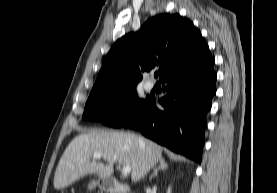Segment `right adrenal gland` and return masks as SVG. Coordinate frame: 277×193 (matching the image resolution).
Listing matches in <instances>:
<instances>
[{
	"mask_svg": "<svg viewBox=\"0 0 277 193\" xmlns=\"http://www.w3.org/2000/svg\"><path fill=\"white\" fill-rule=\"evenodd\" d=\"M166 169H168V164H167V163L165 162V160L162 158V159L160 160L159 166H158L157 168L154 169V171H153V173L151 174L149 180L151 181L152 178L157 177V176H158L159 170H166Z\"/></svg>",
	"mask_w": 277,
	"mask_h": 193,
	"instance_id": "1",
	"label": "right adrenal gland"
}]
</instances>
